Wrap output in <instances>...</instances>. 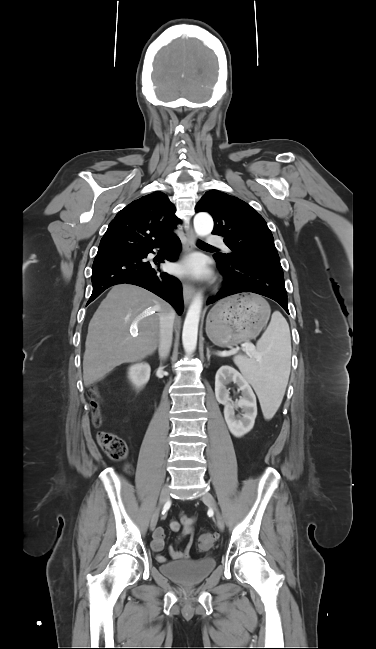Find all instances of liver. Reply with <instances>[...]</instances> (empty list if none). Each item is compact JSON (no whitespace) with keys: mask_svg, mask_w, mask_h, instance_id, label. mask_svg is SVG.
Wrapping results in <instances>:
<instances>
[{"mask_svg":"<svg viewBox=\"0 0 376 649\" xmlns=\"http://www.w3.org/2000/svg\"><path fill=\"white\" fill-rule=\"evenodd\" d=\"M170 306L132 284L112 287L93 315L85 342V386L103 379L116 366L142 360L159 343L160 317Z\"/></svg>","mask_w":376,"mask_h":649,"instance_id":"obj_1","label":"liver"}]
</instances>
